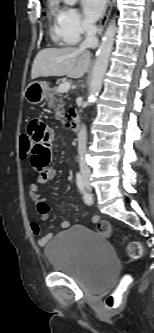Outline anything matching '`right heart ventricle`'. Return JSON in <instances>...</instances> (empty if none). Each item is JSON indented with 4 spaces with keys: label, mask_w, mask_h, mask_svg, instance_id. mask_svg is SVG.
Here are the masks:
<instances>
[{
    "label": "right heart ventricle",
    "mask_w": 154,
    "mask_h": 333,
    "mask_svg": "<svg viewBox=\"0 0 154 333\" xmlns=\"http://www.w3.org/2000/svg\"><path fill=\"white\" fill-rule=\"evenodd\" d=\"M62 8L57 4L53 3L50 7V31L52 38L59 45L69 44L65 38L61 24Z\"/></svg>",
    "instance_id": "1"
}]
</instances>
